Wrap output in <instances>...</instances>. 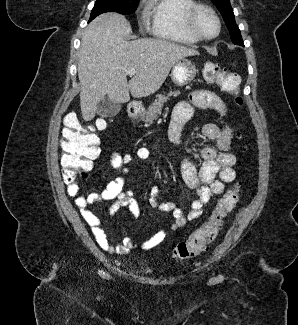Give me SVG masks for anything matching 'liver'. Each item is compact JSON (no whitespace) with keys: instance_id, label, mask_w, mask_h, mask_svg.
Returning a JSON list of instances; mask_svg holds the SVG:
<instances>
[{"instance_id":"liver-1","label":"liver","mask_w":298,"mask_h":325,"mask_svg":"<svg viewBox=\"0 0 298 325\" xmlns=\"http://www.w3.org/2000/svg\"><path fill=\"white\" fill-rule=\"evenodd\" d=\"M131 26L117 12H103L84 30L78 62L83 120H92L103 96L113 102H128L154 94L165 82L172 66L185 56L200 54L196 48L160 38L125 40ZM128 68L136 72L127 80Z\"/></svg>"}]
</instances>
